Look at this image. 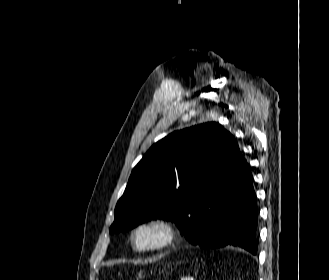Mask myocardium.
I'll return each instance as SVG.
<instances>
[{"label":"myocardium","instance_id":"myocardium-1","mask_svg":"<svg viewBox=\"0 0 329 280\" xmlns=\"http://www.w3.org/2000/svg\"><path fill=\"white\" fill-rule=\"evenodd\" d=\"M157 229L160 232V239L147 246L136 244V235L143 229ZM176 228L173 223L162 217L148 218L137 223L130 233L131 247L139 253H153L168 249L175 241Z\"/></svg>","mask_w":329,"mask_h":280}]
</instances>
